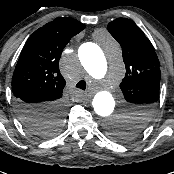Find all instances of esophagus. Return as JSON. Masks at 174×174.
Listing matches in <instances>:
<instances>
[{
    "label": "esophagus",
    "instance_id": "34e87169",
    "mask_svg": "<svg viewBox=\"0 0 174 174\" xmlns=\"http://www.w3.org/2000/svg\"><path fill=\"white\" fill-rule=\"evenodd\" d=\"M91 98V95L88 94L87 97H86V100H89Z\"/></svg>",
    "mask_w": 174,
    "mask_h": 174
}]
</instances>
